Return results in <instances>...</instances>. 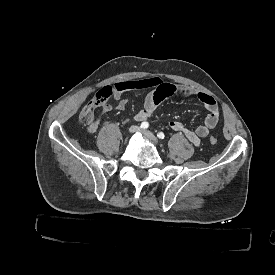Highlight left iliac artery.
<instances>
[{"label":"left iliac artery","instance_id":"44dca946","mask_svg":"<svg viewBox=\"0 0 275 275\" xmlns=\"http://www.w3.org/2000/svg\"><path fill=\"white\" fill-rule=\"evenodd\" d=\"M157 137L160 138V139H164L165 135H164L163 132H159V133L157 134Z\"/></svg>","mask_w":275,"mask_h":275}]
</instances>
